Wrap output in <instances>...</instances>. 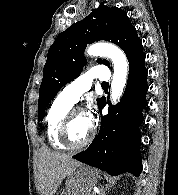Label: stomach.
<instances>
[{"label": "stomach", "mask_w": 178, "mask_h": 195, "mask_svg": "<svg viewBox=\"0 0 178 195\" xmlns=\"http://www.w3.org/2000/svg\"><path fill=\"white\" fill-rule=\"evenodd\" d=\"M99 178L96 169L81 165L66 178L59 195H88Z\"/></svg>", "instance_id": "stomach-1"}]
</instances>
